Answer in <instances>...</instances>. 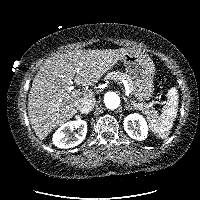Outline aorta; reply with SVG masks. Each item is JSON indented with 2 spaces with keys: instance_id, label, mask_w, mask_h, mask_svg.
<instances>
[{
  "instance_id": "1",
  "label": "aorta",
  "mask_w": 200,
  "mask_h": 200,
  "mask_svg": "<svg viewBox=\"0 0 200 200\" xmlns=\"http://www.w3.org/2000/svg\"><path fill=\"white\" fill-rule=\"evenodd\" d=\"M105 106L110 109L114 110L120 106V97L115 92H107L103 98Z\"/></svg>"
}]
</instances>
